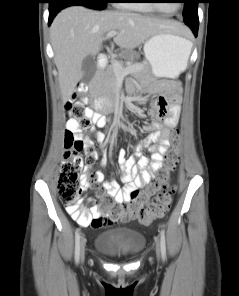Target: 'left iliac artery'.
Returning <instances> with one entry per match:
<instances>
[{
  "instance_id": "obj_1",
  "label": "left iliac artery",
  "mask_w": 239,
  "mask_h": 296,
  "mask_svg": "<svg viewBox=\"0 0 239 296\" xmlns=\"http://www.w3.org/2000/svg\"><path fill=\"white\" fill-rule=\"evenodd\" d=\"M160 246H161V255L163 261L166 259V242H165V232L164 230H161L160 232Z\"/></svg>"
}]
</instances>
